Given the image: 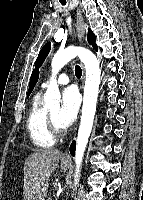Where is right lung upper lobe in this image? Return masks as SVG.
<instances>
[{"label":"right lung upper lobe","mask_w":143,"mask_h":200,"mask_svg":"<svg viewBox=\"0 0 143 200\" xmlns=\"http://www.w3.org/2000/svg\"><path fill=\"white\" fill-rule=\"evenodd\" d=\"M38 77H39V71L37 69H34L31 78H30V83H29V90H28V95H30V93L32 92L36 82L38 81Z\"/></svg>","instance_id":"obj_1"}]
</instances>
